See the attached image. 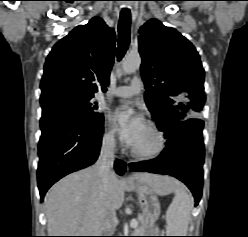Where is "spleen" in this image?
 <instances>
[{
  "mask_svg": "<svg viewBox=\"0 0 248 237\" xmlns=\"http://www.w3.org/2000/svg\"><path fill=\"white\" fill-rule=\"evenodd\" d=\"M174 199L166 212L167 236H186L193 200L182 185H175Z\"/></svg>",
  "mask_w": 248,
  "mask_h": 237,
  "instance_id": "1",
  "label": "spleen"
}]
</instances>
